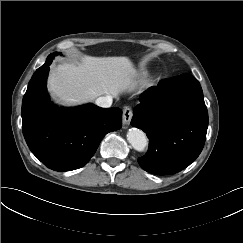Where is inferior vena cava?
<instances>
[{
	"instance_id": "1",
	"label": "inferior vena cava",
	"mask_w": 243,
	"mask_h": 243,
	"mask_svg": "<svg viewBox=\"0 0 243 243\" xmlns=\"http://www.w3.org/2000/svg\"><path fill=\"white\" fill-rule=\"evenodd\" d=\"M95 104L102 108H108L112 105V97L111 96L98 97L95 100Z\"/></svg>"
}]
</instances>
